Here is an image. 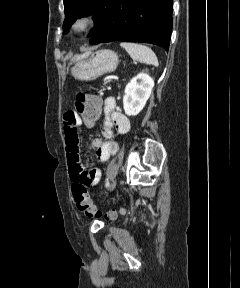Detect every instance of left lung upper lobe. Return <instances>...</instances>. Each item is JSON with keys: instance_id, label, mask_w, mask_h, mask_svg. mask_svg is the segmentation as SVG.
I'll return each instance as SVG.
<instances>
[{"instance_id": "left-lung-upper-lobe-1", "label": "left lung upper lobe", "mask_w": 240, "mask_h": 288, "mask_svg": "<svg viewBox=\"0 0 240 288\" xmlns=\"http://www.w3.org/2000/svg\"><path fill=\"white\" fill-rule=\"evenodd\" d=\"M109 1L110 0H64L65 20L63 30H67L85 11L96 10L94 16L95 26L89 34V36H91L101 23L108 9ZM65 33H67V31Z\"/></svg>"}]
</instances>
